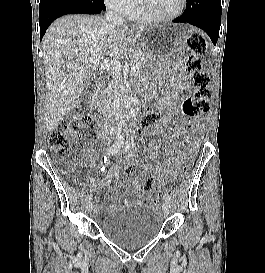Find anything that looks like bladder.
Listing matches in <instances>:
<instances>
[{"instance_id":"31cf9c89","label":"bladder","mask_w":265,"mask_h":273,"mask_svg":"<svg viewBox=\"0 0 265 273\" xmlns=\"http://www.w3.org/2000/svg\"><path fill=\"white\" fill-rule=\"evenodd\" d=\"M163 222L164 216L155 205L135 203L104 216L98 225L112 242L125 248H137L155 239Z\"/></svg>"}]
</instances>
